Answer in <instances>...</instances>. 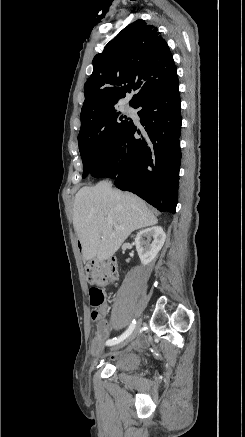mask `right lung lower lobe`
<instances>
[{
	"label": "right lung lower lobe",
	"instance_id": "obj_1",
	"mask_svg": "<svg viewBox=\"0 0 245 437\" xmlns=\"http://www.w3.org/2000/svg\"><path fill=\"white\" fill-rule=\"evenodd\" d=\"M180 106L179 85L140 99L133 107L139 109L142 134L132 121L92 176L114 178L117 188L135 193L160 212L174 214L181 161Z\"/></svg>",
	"mask_w": 245,
	"mask_h": 437
}]
</instances>
